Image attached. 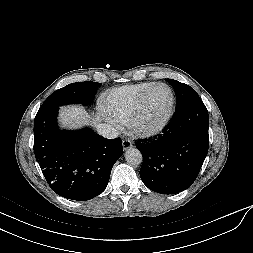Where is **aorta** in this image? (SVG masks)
Listing matches in <instances>:
<instances>
[{
    "instance_id": "762f6f07",
    "label": "aorta",
    "mask_w": 253,
    "mask_h": 253,
    "mask_svg": "<svg viewBox=\"0 0 253 253\" xmlns=\"http://www.w3.org/2000/svg\"><path fill=\"white\" fill-rule=\"evenodd\" d=\"M125 159L130 165H139L142 163L143 157L137 148H130L125 153Z\"/></svg>"
}]
</instances>
